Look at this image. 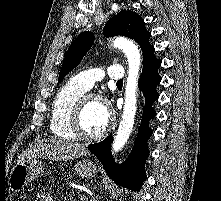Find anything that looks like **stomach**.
I'll list each match as a JSON object with an SVG mask.
<instances>
[{"mask_svg": "<svg viewBox=\"0 0 221 201\" xmlns=\"http://www.w3.org/2000/svg\"><path fill=\"white\" fill-rule=\"evenodd\" d=\"M74 170L77 175L88 179L94 177L97 173L95 164L87 159L78 161L74 166ZM42 172L43 165L41 161L35 158L20 160L10 173L8 185L12 191L18 192Z\"/></svg>", "mask_w": 221, "mask_h": 201, "instance_id": "stomach-1", "label": "stomach"}]
</instances>
